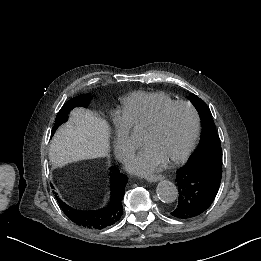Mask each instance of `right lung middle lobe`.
<instances>
[{
    "label": "right lung middle lobe",
    "instance_id": "right-lung-middle-lobe-1",
    "mask_svg": "<svg viewBox=\"0 0 261 261\" xmlns=\"http://www.w3.org/2000/svg\"><path fill=\"white\" fill-rule=\"evenodd\" d=\"M91 99L92 97L89 94H86V95H80L76 98L67 101L60 109L59 113L57 114V117L55 119V124L52 129V133L55 132V130L58 128L59 125L67 121L68 113L70 112L71 109L77 106L87 107Z\"/></svg>",
    "mask_w": 261,
    "mask_h": 261
}]
</instances>
